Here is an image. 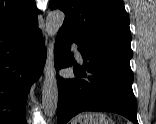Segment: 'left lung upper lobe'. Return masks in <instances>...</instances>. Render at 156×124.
<instances>
[{
	"mask_svg": "<svg viewBox=\"0 0 156 124\" xmlns=\"http://www.w3.org/2000/svg\"><path fill=\"white\" fill-rule=\"evenodd\" d=\"M65 19L59 31L88 52L106 53L130 62L131 32L123 0H50Z\"/></svg>",
	"mask_w": 156,
	"mask_h": 124,
	"instance_id": "obj_1",
	"label": "left lung upper lobe"
}]
</instances>
